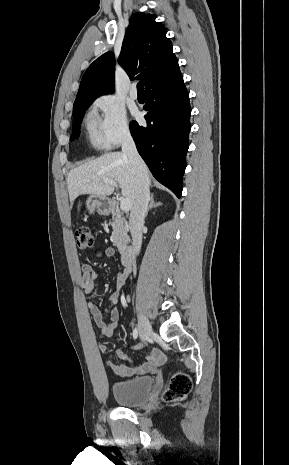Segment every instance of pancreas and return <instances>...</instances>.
<instances>
[{
    "label": "pancreas",
    "mask_w": 289,
    "mask_h": 465,
    "mask_svg": "<svg viewBox=\"0 0 289 465\" xmlns=\"http://www.w3.org/2000/svg\"><path fill=\"white\" fill-rule=\"evenodd\" d=\"M111 240L120 252H124L129 243L128 226L126 220L116 211L113 214Z\"/></svg>",
    "instance_id": "obj_1"
}]
</instances>
